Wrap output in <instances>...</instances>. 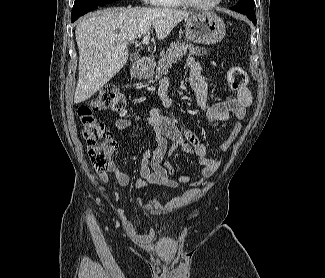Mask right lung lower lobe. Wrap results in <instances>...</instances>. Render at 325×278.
<instances>
[{
    "instance_id": "obj_1",
    "label": "right lung lower lobe",
    "mask_w": 325,
    "mask_h": 278,
    "mask_svg": "<svg viewBox=\"0 0 325 278\" xmlns=\"http://www.w3.org/2000/svg\"><path fill=\"white\" fill-rule=\"evenodd\" d=\"M98 6H101L97 3L90 4L88 6H85L84 2L79 1L78 4L74 3V7L71 14V21L74 22L77 20L80 16L86 14L87 12L97 8Z\"/></svg>"
}]
</instances>
